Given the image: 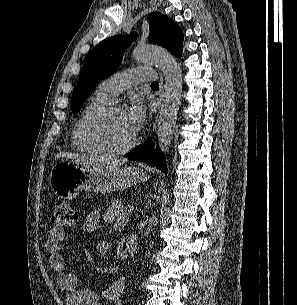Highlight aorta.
Wrapping results in <instances>:
<instances>
[{"mask_svg":"<svg viewBox=\"0 0 297 305\" xmlns=\"http://www.w3.org/2000/svg\"><path fill=\"white\" fill-rule=\"evenodd\" d=\"M133 57L142 63L152 64L163 72L165 77L164 95L157 124L158 145L164 154L169 152L177 114L181 104L182 71L175 58L166 50L148 45H138ZM156 220V216L150 218Z\"/></svg>","mask_w":297,"mask_h":305,"instance_id":"obj_1","label":"aorta"}]
</instances>
